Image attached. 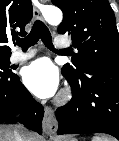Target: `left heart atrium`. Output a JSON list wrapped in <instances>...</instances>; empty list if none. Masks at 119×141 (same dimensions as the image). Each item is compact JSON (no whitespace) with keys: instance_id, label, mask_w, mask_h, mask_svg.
Here are the masks:
<instances>
[{"instance_id":"obj_1","label":"left heart atrium","mask_w":119,"mask_h":141,"mask_svg":"<svg viewBox=\"0 0 119 141\" xmlns=\"http://www.w3.org/2000/svg\"><path fill=\"white\" fill-rule=\"evenodd\" d=\"M23 81L36 96L48 98L58 88V72L48 58H41L24 69Z\"/></svg>"}]
</instances>
